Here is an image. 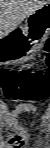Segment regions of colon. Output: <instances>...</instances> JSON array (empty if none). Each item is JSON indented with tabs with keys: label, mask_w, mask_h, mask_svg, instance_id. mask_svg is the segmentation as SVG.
<instances>
[{
	"label": "colon",
	"mask_w": 50,
	"mask_h": 148,
	"mask_svg": "<svg viewBox=\"0 0 50 148\" xmlns=\"http://www.w3.org/2000/svg\"><path fill=\"white\" fill-rule=\"evenodd\" d=\"M50 50V43H46ZM44 63L50 64V56L44 57ZM3 95L6 98L22 101H40L48 98L50 88V70H3L0 73Z\"/></svg>",
	"instance_id": "obj_1"
}]
</instances>
